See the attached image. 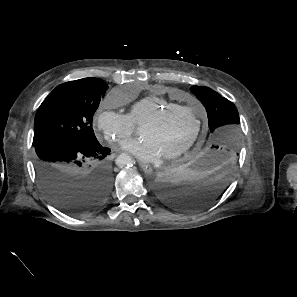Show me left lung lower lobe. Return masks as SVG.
Listing matches in <instances>:
<instances>
[{
	"label": "left lung lower lobe",
	"instance_id": "0a47b994",
	"mask_svg": "<svg viewBox=\"0 0 297 297\" xmlns=\"http://www.w3.org/2000/svg\"><path fill=\"white\" fill-rule=\"evenodd\" d=\"M235 164L236 158L208 149L157 174L154 191L168 206L185 211L200 210L224 193L232 180Z\"/></svg>",
	"mask_w": 297,
	"mask_h": 297
}]
</instances>
